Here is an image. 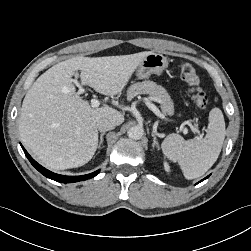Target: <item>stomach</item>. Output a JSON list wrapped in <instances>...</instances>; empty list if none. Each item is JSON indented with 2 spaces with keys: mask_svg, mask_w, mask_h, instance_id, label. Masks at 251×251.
Masks as SVG:
<instances>
[{
  "mask_svg": "<svg viewBox=\"0 0 251 251\" xmlns=\"http://www.w3.org/2000/svg\"><path fill=\"white\" fill-rule=\"evenodd\" d=\"M168 67V60L159 53L151 52L148 54L136 69L139 79L149 77L151 74L160 75Z\"/></svg>",
  "mask_w": 251,
  "mask_h": 251,
  "instance_id": "stomach-1",
  "label": "stomach"
}]
</instances>
